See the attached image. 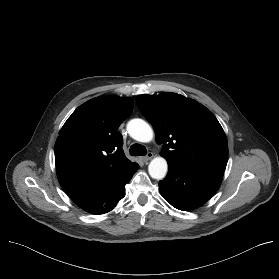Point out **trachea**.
I'll return each mask as SVG.
<instances>
[{
  "instance_id": "obj_1",
  "label": "trachea",
  "mask_w": 279,
  "mask_h": 279,
  "mask_svg": "<svg viewBox=\"0 0 279 279\" xmlns=\"http://www.w3.org/2000/svg\"><path fill=\"white\" fill-rule=\"evenodd\" d=\"M146 148L141 144H133L130 147V155L131 156H144L146 155Z\"/></svg>"
}]
</instances>
